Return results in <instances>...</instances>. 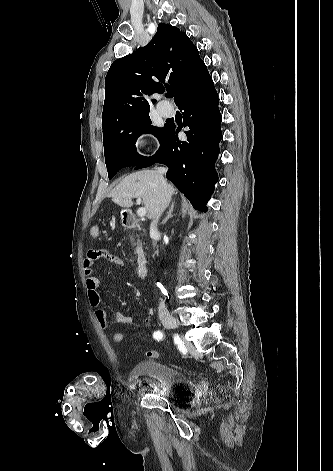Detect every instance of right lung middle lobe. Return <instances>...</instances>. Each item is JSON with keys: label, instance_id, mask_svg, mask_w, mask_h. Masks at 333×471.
Listing matches in <instances>:
<instances>
[{"label": "right lung middle lobe", "instance_id": "1", "mask_svg": "<svg viewBox=\"0 0 333 471\" xmlns=\"http://www.w3.org/2000/svg\"><path fill=\"white\" fill-rule=\"evenodd\" d=\"M168 125L158 128L151 125L149 111L126 121L118 122L103 131L104 155L109 179L122 168L134 166L145 157L135 148L136 139L143 133L154 134L159 140L164 136Z\"/></svg>", "mask_w": 333, "mask_h": 471}]
</instances>
